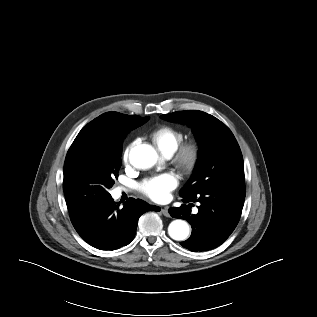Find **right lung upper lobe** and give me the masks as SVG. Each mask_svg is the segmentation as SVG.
I'll return each instance as SVG.
<instances>
[{"mask_svg": "<svg viewBox=\"0 0 317 317\" xmlns=\"http://www.w3.org/2000/svg\"><path fill=\"white\" fill-rule=\"evenodd\" d=\"M117 112H107L90 123H88L79 132L76 139L87 137L90 135L103 139H111L115 142L120 141L118 128L122 125L130 124L137 115L128 116L127 119L119 118Z\"/></svg>", "mask_w": 317, "mask_h": 317, "instance_id": "obj_1", "label": "right lung upper lobe"}]
</instances>
